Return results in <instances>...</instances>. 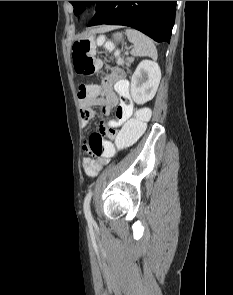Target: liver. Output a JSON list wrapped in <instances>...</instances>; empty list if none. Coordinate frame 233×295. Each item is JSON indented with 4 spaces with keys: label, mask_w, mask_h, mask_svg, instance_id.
<instances>
[{
    "label": "liver",
    "mask_w": 233,
    "mask_h": 295,
    "mask_svg": "<svg viewBox=\"0 0 233 295\" xmlns=\"http://www.w3.org/2000/svg\"><path fill=\"white\" fill-rule=\"evenodd\" d=\"M115 28H116L115 26H104L99 29H96L94 32H106Z\"/></svg>",
    "instance_id": "1"
}]
</instances>
